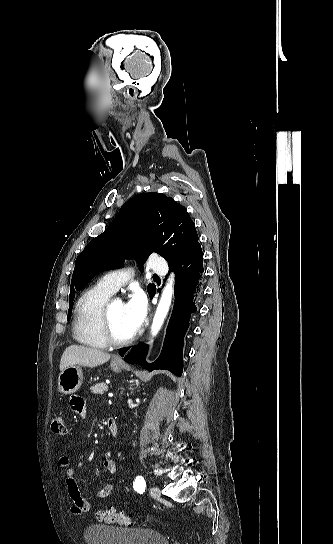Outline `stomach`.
<instances>
[{
  "label": "stomach",
  "instance_id": "stomach-1",
  "mask_svg": "<svg viewBox=\"0 0 333 544\" xmlns=\"http://www.w3.org/2000/svg\"><path fill=\"white\" fill-rule=\"evenodd\" d=\"M115 372H120L124 366L122 364H111ZM83 380L82 369L79 365L68 366L61 371L58 377V388L64 394H71L77 391Z\"/></svg>",
  "mask_w": 333,
  "mask_h": 544
}]
</instances>
